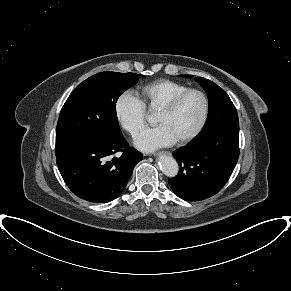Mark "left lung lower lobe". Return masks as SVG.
Returning a JSON list of instances; mask_svg holds the SVG:
<instances>
[{"label":"left lung lower lobe","instance_id":"obj_1","mask_svg":"<svg viewBox=\"0 0 291 291\" xmlns=\"http://www.w3.org/2000/svg\"><path fill=\"white\" fill-rule=\"evenodd\" d=\"M178 175L168 180L181 199L198 201L218 193L230 178L239 157V130H217L192 140L174 152Z\"/></svg>","mask_w":291,"mask_h":291}]
</instances>
